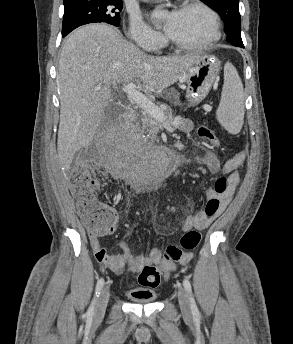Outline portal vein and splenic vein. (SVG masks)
I'll list each match as a JSON object with an SVG mask.
<instances>
[{"label":"portal vein and splenic vein","instance_id":"1","mask_svg":"<svg viewBox=\"0 0 293 344\" xmlns=\"http://www.w3.org/2000/svg\"><path fill=\"white\" fill-rule=\"evenodd\" d=\"M122 90L133 100L143 111L153 118L157 119L163 124H166V117L163 111L157 107L145 95L136 90L134 83H127L122 87Z\"/></svg>","mask_w":293,"mask_h":344}]
</instances>
